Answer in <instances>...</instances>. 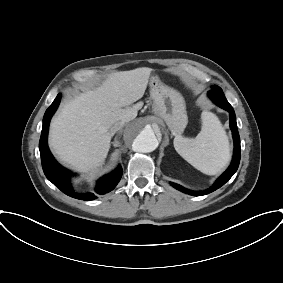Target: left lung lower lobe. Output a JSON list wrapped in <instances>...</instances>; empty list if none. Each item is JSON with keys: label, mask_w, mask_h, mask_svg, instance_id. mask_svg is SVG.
<instances>
[{"label": "left lung lower lobe", "mask_w": 283, "mask_h": 283, "mask_svg": "<svg viewBox=\"0 0 283 283\" xmlns=\"http://www.w3.org/2000/svg\"><path fill=\"white\" fill-rule=\"evenodd\" d=\"M211 98V97H210ZM215 104H217L219 107L227 110L230 115V128L232 130V135H233V140H234V153H233V159L228 167V169L215 181V183L207 190L205 191H192L189 189H186L176 183H170L174 188L177 190L193 195V196H202L206 195L208 193H211L221 186H223L237 171L239 163H240V153H241V148H240V137L239 133L237 130V123H236V116L235 112L232 108V106L229 104L226 98L224 99H218V98H211Z\"/></svg>", "instance_id": "obj_1"}]
</instances>
